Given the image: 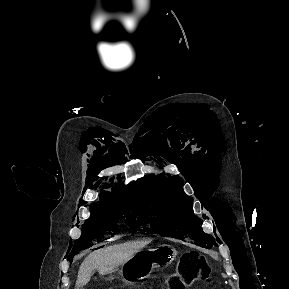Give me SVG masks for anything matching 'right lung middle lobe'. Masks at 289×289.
<instances>
[{"mask_svg":"<svg viewBox=\"0 0 289 289\" xmlns=\"http://www.w3.org/2000/svg\"><path fill=\"white\" fill-rule=\"evenodd\" d=\"M137 212V206L130 202L112 205H91V215L83 225L81 237L75 241L72 249L73 255L91 247L94 241H101L100 239L105 232L116 231V224L119 218H124L133 232L137 231L141 221Z\"/></svg>","mask_w":289,"mask_h":289,"instance_id":"1","label":"right lung middle lobe"}]
</instances>
